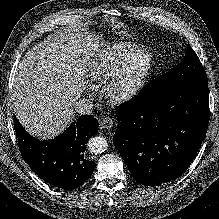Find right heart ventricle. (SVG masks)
I'll use <instances>...</instances> for the list:
<instances>
[{
	"instance_id": "right-heart-ventricle-1",
	"label": "right heart ventricle",
	"mask_w": 219,
	"mask_h": 219,
	"mask_svg": "<svg viewBox=\"0 0 219 219\" xmlns=\"http://www.w3.org/2000/svg\"><path fill=\"white\" fill-rule=\"evenodd\" d=\"M141 51L132 44H115L96 54L88 64V78L93 86H99L108 80L118 65Z\"/></svg>"
}]
</instances>
